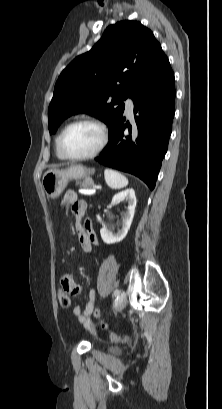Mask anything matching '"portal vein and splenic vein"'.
Returning <instances> with one entry per match:
<instances>
[{
    "label": "portal vein and splenic vein",
    "mask_w": 222,
    "mask_h": 409,
    "mask_svg": "<svg viewBox=\"0 0 222 409\" xmlns=\"http://www.w3.org/2000/svg\"><path fill=\"white\" fill-rule=\"evenodd\" d=\"M95 192H96V189H95V188L89 189V190H80V193H81V194H84V195H92V194H94Z\"/></svg>",
    "instance_id": "obj_1"
}]
</instances>
